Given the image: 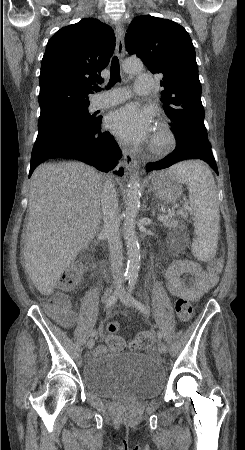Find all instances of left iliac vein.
I'll return each mask as SVG.
<instances>
[{"label":"left iliac vein","instance_id":"obj_1","mask_svg":"<svg viewBox=\"0 0 245 450\" xmlns=\"http://www.w3.org/2000/svg\"><path fill=\"white\" fill-rule=\"evenodd\" d=\"M119 298L125 306L130 307V308L134 307L133 299H132L131 295L125 289L121 290V292L119 294ZM159 350L161 353L165 354L168 351L167 345L164 342H160Z\"/></svg>","mask_w":245,"mask_h":450}]
</instances>
